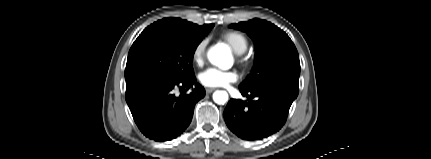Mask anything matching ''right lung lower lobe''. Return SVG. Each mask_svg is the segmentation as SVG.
Returning a JSON list of instances; mask_svg holds the SVG:
<instances>
[{"instance_id":"obj_1","label":"right lung lower lobe","mask_w":431,"mask_h":159,"mask_svg":"<svg viewBox=\"0 0 431 159\" xmlns=\"http://www.w3.org/2000/svg\"><path fill=\"white\" fill-rule=\"evenodd\" d=\"M195 81V76L178 80L155 74L126 84V102L135 123L146 137L163 142L185 131L192 120L194 106L205 96V90L196 84L190 94L177 97L173 89H189Z\"/></svg>"}]
</instances>
